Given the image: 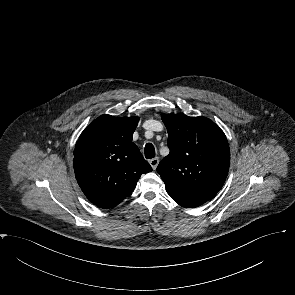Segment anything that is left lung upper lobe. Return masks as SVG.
<instances>
[{"label": "left lung upper lobe", "instance_id": "1", "mask_svg": "<svg viewBox=\"0 0 295 295\" xmlns=\"http://www.w3.org/2000/svg\"><path fill=\"white\" fill-rule=\"evenodd\" d=\"M170 153L157 172L168 194L183 207H198L222 188L230 165V149L223 131L205 117L162 114Z\"/></svg>", "mask_w": 295, "mask_h": 295}]
</instances>
